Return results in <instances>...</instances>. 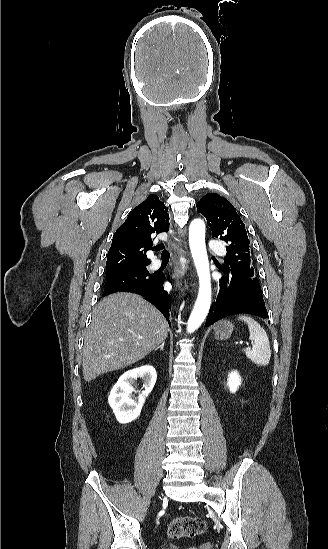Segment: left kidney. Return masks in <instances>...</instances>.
<instances>
[{"mask_svg":"<svg viewBox=\"0 0 328 549\" xmlns=\"http://www.w3.org/2000/svg\"><path fill=\"white\" fill-rule=\"evenodd\" d=\"M230 393H236L241 385V377L237 371H232L228 375V383Z\"/></svg>","mask_w":328,"mask_h":549,"instance_id":"1","label":"left kidney"}]
</instances>
